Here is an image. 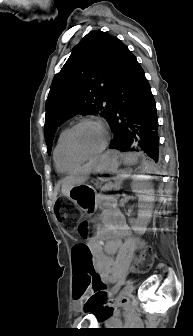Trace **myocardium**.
<instances>
[{
    "label": "myocardium",
    "mask_w": 193,
    "mask_h": 336,
    "mask_svg": "<svg viewBox=\"0 0 193 336\" xmlns=\"http://www.w3.org/2000/svg\"><path fill=\"white\" fill-rule=\"evenodd\" d=\"M87 123H95L99 125L104 131V141L101 147L92 153H86V152L79 150L74 143V134L76 130L82 125L87 124ZM109 139H110L109 129L102 120L97 119V118L86 117V118L80 119L68 129L67 134H66V139H65V146H66V150L68 154L71 157L85 160V159L93 158L101 154L106 149Z\"/></svg>",
    "instance_id": "myocardium-1"
}]
</instances>
